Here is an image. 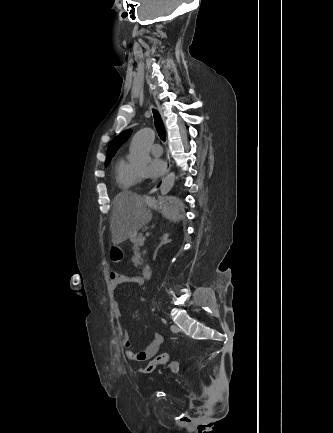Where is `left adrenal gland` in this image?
I'll return each instance as SVG.
<instances>
[{
	"mask_svg": "<svg viewBox=\"0 0 333 433\" xmlns=\"http://www.w3.org/2000/svg\"><path fill=\"white\" fill-rule=\"evenodd\" d=\"M169 233L163 234V236L161 237V242L160 244L157 246L156 250H155V255L157 254L159 248H161V246L170 243L172 240L169 239Z\"/></svg>",
	"mask_w": 333,
	"mask_h": 433,
	"instance_id": "a2214340",
	"label": "left adrenal gland"
}]
</instances>
